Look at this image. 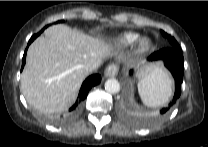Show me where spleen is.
I'll use <instances>...</instances> for the list:
<instances>
[{
    "mask_svg": "<svg viewBox=\"0 0 208 147\" xmlns=\"http://www.w3.org/2000/svg\"><path fill=\"white\" fill-rule=\"evenodd\" d=\"M138 92L145 105L163 106L173 94V81L167 72L158 70L138 82Z\"/></svg>",
    "mask_w": 208,
    "mask_h": 147,
    "instance_id": "3e777b00",
    "label": "spleen"
}]
</instances>
